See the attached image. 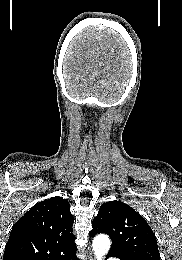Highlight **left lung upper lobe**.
<instances>
[{"label": "left lung upper lobe", "mask_w": 182, "mask_h": 260, "mask_svg": "<svg viewBox=\"0 0 182 260\" xmlns=\"http://www.w3.org/2000/svg\"><path fill=\"white\" fill-rule=\"evenodd\" d=\"M92 227L90 236L105 233L111 237L108 254L125 260H160L151 227L138 212L121 201L101 205Z\"/></svg>", "instance_id": "left-lung-upper-lobe-1"}]
</instances>
